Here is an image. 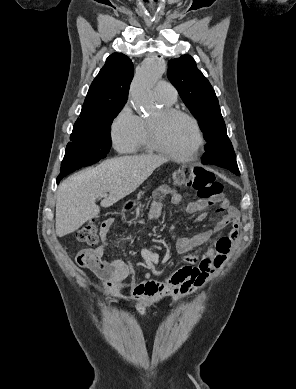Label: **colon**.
I'll return each instance as SVG.
<instances>
[{
    "mask_svg": "<svg viewBox=\"0 0 296 389\" xmlns=\"http://www.w3.org/2000/svg\"><path fill=\"white\" fill-rule=\"evenodd\" d=\"M177 186L189 187L196 191L201 200L214 203L221 200L223 185L216 180L214 174L201 167L185 166L173 175ZM77 239L87 245H96L99 241L98 226L94 221H88L77 231Z\"/></svg>",
    "mask_w": 296,
    "mask_h": 389,
    "instance_id": "obj_1",
    "label": "colon"
}]
</instances>
